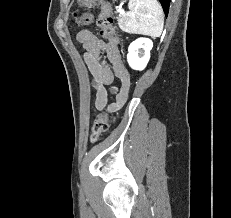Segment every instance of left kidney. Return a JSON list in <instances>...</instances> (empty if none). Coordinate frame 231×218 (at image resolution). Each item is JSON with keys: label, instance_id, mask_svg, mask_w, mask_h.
I'll return each instance as SVG.
<instances>
[{"label": "left kidney", "instance_id": "obj_1", "mask_svg": "<svg viewBox=\"0 0 231 218\" xmlns=\"http://www.w3.org/2000/svg\"><path fill=\"white\" fill-rule=\"evenodd\" d=\"M153 42L149 38L141 37L133 41L127 54L129 66L134 70H143L150 59Z\"/></svg>", "mask_w": 231, "mask_h": 218}]
</instances>
